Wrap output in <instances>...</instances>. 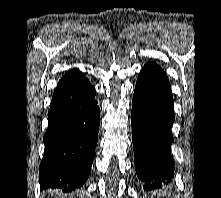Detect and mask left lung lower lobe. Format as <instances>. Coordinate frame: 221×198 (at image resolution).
I'll use <instances>...</instances> for the list:
<instances>
[{
    "label": "left lung lower lobe",
    "mask_w": 221,
    "mask_h": 198,
    "mask_svg": "<svg viewBox=\"0 0 221 198\" xmlns=\"http://www.w3.org/2000/svg\"><path fill=\"white\" fill-rule=\"evenodd\" d=\"M174 119L168 77L160 66L147 63L137 79L131 117L135 169L146 190L161 187L159 181H170L174 176L171 156Z\"/></svg>",
    "instance_id": "0a47b994"
}]
</instances>
